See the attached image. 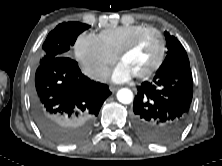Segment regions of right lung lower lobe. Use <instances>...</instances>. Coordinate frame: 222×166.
<instances>
[{"label":"right lung lower lobe","mask_w":222,"mask_h":166,"mask_svg":"<svg viewBox=\"0 0 222 166\" xmlns=\"http://www.w3.org/2000/svg\"><path fill=\"white\" fill-rule=\"evenodd\" d=\"M111 94L106 84L81 73L67 55L39 65L31 92L34 118L39 128L59 143L80 139Z\"/></svg>","instance_id":"1"}]
</instances>
